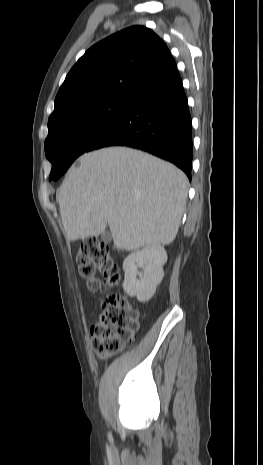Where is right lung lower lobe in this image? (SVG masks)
<instances>
[{
  "mask_svg": "<svg viewBox=\"0 0 263 465\" xmlns=\"http://www.w3.org/2000/svg\"><path fill=\"white\" fill-rule=\"evenodd\" d=\"M116 145L168 160L191 180V116L177 70L137 92L127 112L88 151Z\"/></svg>",
  "mask_w": 263,
  "mask_h": 465,
  "instance_id": "right-lung-lower-lobe-1",
  "label": "right lung lower lobe"
}]
</instances>
